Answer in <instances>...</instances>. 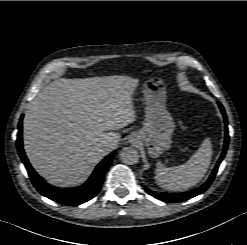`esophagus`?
<instances>
[{"label":"esophagus","instance_id":"1","mask_svg":"<svg viewBox=\"0 0 247 245\" xmlns=\"http://www.w3.org/2000/svg\"><path fill=\"white\" fill-rule=\"evenodd\" d=\"M139 138L136 136V135H133L131 138H130V143L133 145V146H137L139 144Z\"/></svg>","mask_w":247,"mask_h":245}]
</instances>
